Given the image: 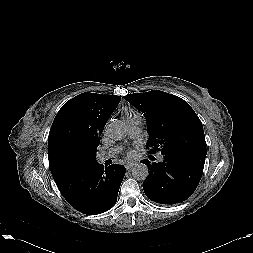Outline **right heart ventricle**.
Returning a JSON list of instances; mask_svg holds the SVG:
<instances>
[{
  "label": "right heart ventricle",
  "instance_id": "1",
  "mask_svg": "<svg viewBox=\"0 0 253 253\" xmlns=\"http://www.w3.org/2000/svg\"><path fill=\"white\" fill-rule=\"evenodd\" d=\"M121 112L123 114L125 121H129L139 117L138 113L130 107H124Z\"/></svg>",
  "mask_w": 253,
  "mask_h": 253
}]
</instances>
